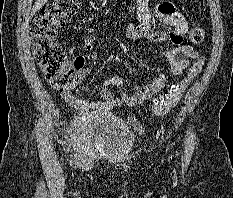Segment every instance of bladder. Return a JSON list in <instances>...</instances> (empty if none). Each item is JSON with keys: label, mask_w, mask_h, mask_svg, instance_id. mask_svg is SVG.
Returning a JSON list of instances; mask_svg holds the SVG:
<instances>
[{"label": "bladder", "mask_w": 233, "mask_h": 198, "mask_svg": "<svg viewBox=\"0 0 233 198\" xmlns=\"http://www.w3.org/2000/svg\"><path fill=\"white\" fill-rule=\"evenodd\" d=\"M141 126L112 113H83L72 121L71 140L86 154H124L132 150Z\"/></svg>", "instance_id": "obj_1"}]
</instances>
